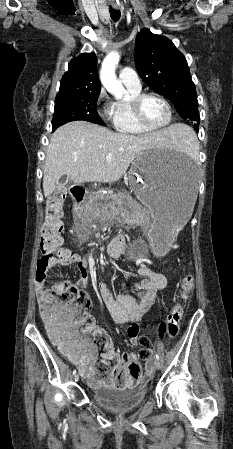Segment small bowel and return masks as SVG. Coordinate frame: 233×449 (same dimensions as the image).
I'll list each match as a JSON object with an SVG mask.
<instances>
[{
	"label": "small bowel",
	"mask_w": 233,
	"mask_h": 449,
	"mask_svg": "<svg viewBox=\"0 0 233 449\" xmlns=\"http://www.w3.org/2000/svg\"><path fill=\"white\" fill-rule=\"evenodd\" d=\"M67 256H57L50 264L48 269L58 266L74 265L78 272L77 286L83 287L87 283L88 270L87 259L84 255L71 253L68 250ZM47 269V271H48ZM47 271L42 274V278L36 279V287L42 298L44 295L45 281ZM139 274L144 279L136 284L139 290L137 295H117L113 296L109 288L105 284H99L98 290L106 304L114 322L118 324H128L127 334L129 342L132 346L138 344L140 327L138 321L141 320L148 311L153 307L159 291L167 286V278L164 274L153 271L145 263L140 264ZM66 356H68L76 365H78L81 374L88 380L91 386L100 387L104 384V380L100 376V372L107 369L111 363L115 362V366L109 372V380L120 379L125 384H138V375L121 374L119 364L122 359L133 354H118L113 347L111 340L107 339L103 343L104 352L101 355V366L96 365L97 352L96 348H83L75 341L68 342L66 347L57 346ZM154 364L152 355L146 360V374L144 378L150 375Z\"/></svg>",
	"instance_id": "small-bowel-1"
}]
</instances>
